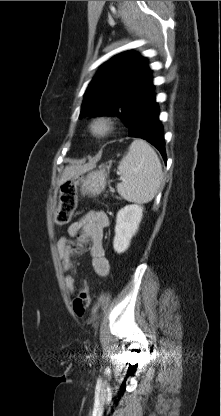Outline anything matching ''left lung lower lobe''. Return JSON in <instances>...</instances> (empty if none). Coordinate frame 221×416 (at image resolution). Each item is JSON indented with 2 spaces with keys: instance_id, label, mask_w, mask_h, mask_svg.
I'll list each match as a JSON object with an SVG mask.
<instances>
[{
  "instance_id": "obj_1",
  "label": "left lung lower lobe",
  "mask_w": 221,
  "mask_h": 416,
  "mask_svg": "<svg viewBox=\"0 0 221 416\" xmlns=\"http://www.w3.org/2000/svg\"><path fill=\"white\" fill-rule=\"evenodd\" d=\"M129 137L141 138L156 147L166 162L163 126L159 120V108L152 92L136 108L129 125Z\"/></svg>"
}]
</instances>
